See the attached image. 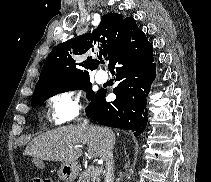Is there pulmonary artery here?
<instances>
[{
  "instance_id": "e3ab8cb5",
  "label": "pulmonary artery",
  "mask_w": 211,
  "mask_h": 182,
  "mask_svg": "<svg viewBox=\"0 0 211 182\" xmlns=\"http://www.w3.org/2000/svg\"><path fill=\"white\" fill-rule=\"evenodd\" d=\"M107 73H105L104 71H100L96 74V81L98 83H104L105 81H107Z\"/></svg>"
}]
</instances>
